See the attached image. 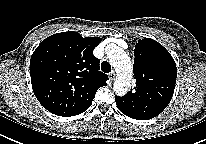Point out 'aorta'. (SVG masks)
Listing matches in <instances>:
<instances>
[{"instance_id":"aorta-1","label":"aorta","mask_w":206,"mask_h":144,"mask_svg":"<svg viewBox=\"0 0 206 144\" xmlns=\"http://www.w3.org/2000/svg\"><path fill=\"white\" fill-rule=\"evenodd\" d=\"M107 54L110 64L117 73L113 90L116 95L124 96L129 90L133 75L130 57L116 45L110 46Z\"/></svg>"}]
</instances>
